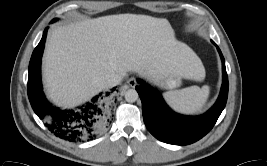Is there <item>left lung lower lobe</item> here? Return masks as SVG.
Segmentation results:
<instances>
[{
	"label": "left lung lower lobe",
	"mask_w": 267,
	"mask_h": 166,
	"mask_svg": "<svg viewBox=\"0 0 267 166\" xmlns=\"http://www.w3.org/2000/svg\"><path fill=\"white\" fill-rule=\"evenodd\" d=\"M217 47L222 60L223 83L221 93L206 113L200 116H185L172 111L164 102L162 95L142 80L136 90L142 101L144 123L149 132L158 140L173 145L192 144L204 137L215 125L223 111L228 96V77L225 60L219 47Z\"/></svg>",
	"instance_id": "obj_1"
}]
</instances>
